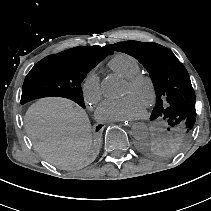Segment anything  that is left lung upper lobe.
I'll return each mask as SVG.
<instances>
[{
	"instance_id": "1",
	"label": "left lung upper lobe",
	"mask_w": 211,
	"mask_h": 211,
	"mask_svg": "<svg viewBox=\"0 0 211 211\" xmlns=\"http://www.w3.org/2000/svg\"><path fill=\"white\" fill-rule=\"evenodd\" d=\"M136 58L149 72L156 92L150 120L164 129L156 142H143L146 155L160 157L179 151L191 137L196 120L195 92L184 65L166 47L153 42L126 41L110 45Z\"/></svg>"
}]
</instances>
